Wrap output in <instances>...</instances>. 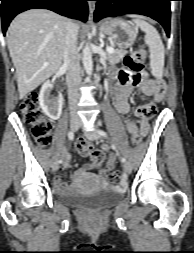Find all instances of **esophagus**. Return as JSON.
Segmentation results:
<instances>
[{"instance_id": "esophagus-1", "label": "esophagus", "mask_w": 194, "mask_h": 253, "mask_svg": "<svg viewBox=\"0 0 194 253\" xmlns=\"http://www.w3.org/2000/svg\"><path fill=\"white\" fill-rule=\"evenodd\" d=\"M88 5H89V10L92 12L94 9V4L91 3V1H89Z\"/></svg>"}]
</instances>
